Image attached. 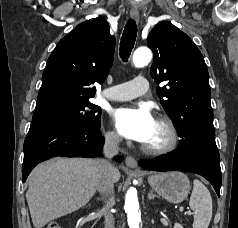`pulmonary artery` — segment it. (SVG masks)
Listing matches in <instances>:
<instances>
[{
	"label": "pulmonary artery",
	"mask_w": 238,
	"mask_h": 228,
	"mask_svg": "<svg viewBox=\"0 0 238 228\" xmlns=\"http://www.w3.org/2000/svg\"><path fill=\"white\" fill-rule=\"evenodd\" d=\"M148 89V80L145 77L137 76L129 82L105 89L103 96L110 100L124 101L144 95Z\"/></svg>",
	"instance_id": "obj_1"
}]
</instances>
